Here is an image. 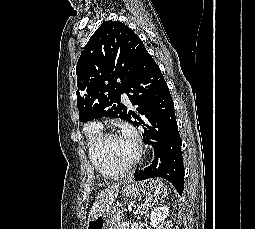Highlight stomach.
Returning <instances> with one entry per match:
<instances>
[{"instance_id": "1", "label": "stomach", "mask_w": 255, "mask_h": 229, "mask_svg": "<svg viewBox=\"0 0 255 229\" xmlns=\"http://www.w3.org/2000/svg\"><path fill=\"white\" fill-rule=\"evenodd\" d=\"M156 182L151 181L148 184H138L126 182L122 186L121 193L125 197H136L145 189H152ZM123 218V211L114 205L107 207L103 212L95 217L88 219L86 229H114L115 225Z\"/></svg>"}]
</instances>
